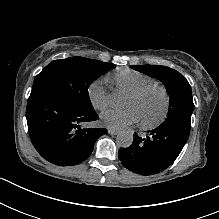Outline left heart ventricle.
Segmentation results:
<instances>
[{
    "instance_id": "left-heart-ventricle-1",
    "label": "left heart ventricle",
    "mask_w": 219,
    "mask_h": 219,
    "mask_svg": "<svg viewBox=\"0 0 219 219\" xmlns=\"http://www.w3.org/2000/svg\"><path fill=\"white\" fill-rule=\"evenodd\" d=\"M125 106L134 107L140 115V120L151 123L161 117L164 109V98L160 91L152 90L140 97L128 96Z\"/></svg>"
}]
</instances>
